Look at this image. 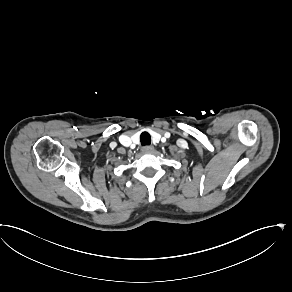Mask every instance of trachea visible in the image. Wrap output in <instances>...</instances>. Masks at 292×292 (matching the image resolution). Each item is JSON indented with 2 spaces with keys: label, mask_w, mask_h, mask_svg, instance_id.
<instances>
[{
  "label": "trachea",
  "mask_w": 292,
  "mask_h": 292,
  "mask_svg": "<svg viewBox=\"0 0 292 292\" xmlns=\"http://www.w3.org/2000/svg\"><path fill=\"white\" fill-rule=\"evenodd\" d=\"M140 142L143 146L145 145H150L151 144V136L149 133L147 132H143L141 135H140Z\"/></svg>",
  "instance_id": "trachea-1"
}]
</instances>
